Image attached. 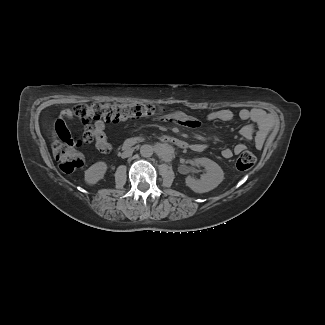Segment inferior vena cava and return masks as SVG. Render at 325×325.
Segmentation results:
<instances>
[{"instance_id":"obj_1","label":"inferior vena cava","mask_w":325,"mask_h":325,"mask_svg":"<svg viewBox=\"0 0 325 325\" xmlns=\"http://www.w3.org/2000/svg\"><path fill=\"white\" fill-rule=\"evenodd\" d=\"M133 153V150H126L122 153V158H126V157H129L131 156Z\"/></svg>"}]
</instances>
